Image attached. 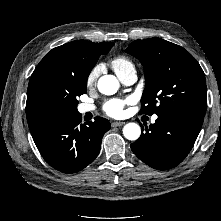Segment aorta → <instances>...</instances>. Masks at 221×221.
Returning a JSON list of instances; mask_svg holds the SVG:
<instances>
[{
	"instance_id": "762f6f07",
	"label": "aorta",
	"mask_w": 221,
	"mask_h": 221,
	"mask_svg": "<svg viewBox=\"0 0 221 221\" xmlns=\"http://www.w3.org/2000/svg\"><path fill=\"white\" fill-rule=\"evenodd\" d=\"M119 89V81L113 75H104L98 80V90L104 95H113ZM123 135L128 140H137L141 135V128L136 123H127L123 127Z\"/></svg>"
}]
</instances>
